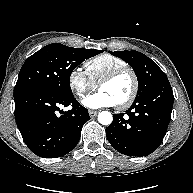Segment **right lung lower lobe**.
Masks as SVG:
<instances>
[{
    "instance_id": "1",
    "label": "right lung lower lobe",
    "mask_w": 193,
    "mask_h": 193,
    "mask_svg": "<svg viewBox=\"0 0 193 193\" xmlns=\"http://www.w3.org/2000/svg\"><path fill=\"white\" fill-rule=\"evenodd\" d=\"M15 119L24 142L36 155L56 158L70 152L78 143L88 110L72 95L49 89H36L14 98ZM60 105H72L63 112ZM60 110L62 115L57 111Z\"/></svg>"
}]
</instances>
